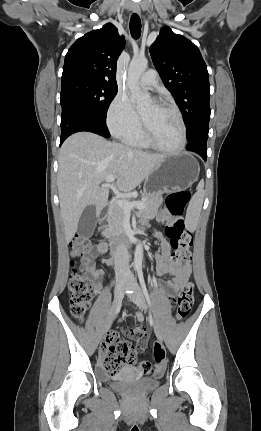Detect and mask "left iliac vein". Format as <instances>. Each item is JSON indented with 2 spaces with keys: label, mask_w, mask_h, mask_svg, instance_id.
<instances>
[{
  "label": "left iliac vein",
  "mask_w": 261,
  "mask_h": 431,
  "mask_svg": "<svg viewBox=\"0 0 261 431\" xmlns=\"http://www.w3.org/2000/svg\"><path fill=\"white\" fill-rule=\"evenodd\" d=\"M132 279V283L130 286H128L129 289L133 291V293L130 294L131 300L142 310L147 311V304L145 302L144 295L142 293V290L140 286L138 285L137 281L135 280L134 276H130ZM154 331L157 336V338L162 342L163 341V334L160 326L154 322Z\"/></svg>",
  "instance_id": "left-iliac-vein-1"
}]
</instances>
